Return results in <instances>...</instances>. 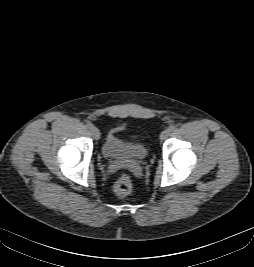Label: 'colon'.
<instances>
[{
	"label": "colon",
	"mask_w": 254,
	"mask_h": 267,
	"mask_svg": "<svg viewBox=\"0 0 254 267\" xmlns=\"http://www.w3.org/2000/svg\"><path fill=\"white\" fill-rule=\"evenodd\" d=\"M133 182L128 174H123L114 185V192L120 196H128L132 192Z\"/></svg>",
	"instance_id": "5ec220e1"
}]
</instances>
